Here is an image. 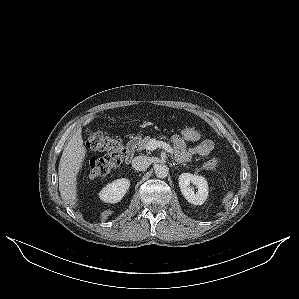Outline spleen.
<instances>
[{
  "label": "spleen",
  "mask_w": 299,
  "mask_h": 299,
  "mask_svg": "<svg viewBox=\"0 0 299 299\" xmlns=\"http://www.w3.org/2000/svg\"><path fill=\"white\" fill-rule=\"evenodd\" d=\"M234 193L232 191H229L222 199V204L225 205V207H228L230 204L231 199L233 198Z\"/></svg>",
  "instance_id": "3e777b00"
}]
</instances>
